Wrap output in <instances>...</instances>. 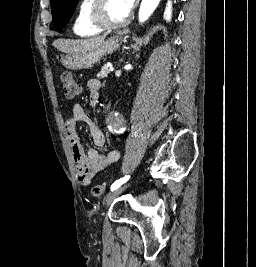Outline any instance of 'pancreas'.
Returning <instances> with one entry per match:
<instances>
[{"mask_svg": "<svg viewBox=\"0 0 256 267\" xmlns=\"http://www.w3.org/2000/svg\"><path fill=\"white\" fill-rule=\"evenodd\" d=\"M108 74H110L107 66H103L100 74H98V76H100V78H107Z\"/></svg>", "mask_w": 256, "mask_h": 267, "instance_id": "pancreas-1", "label": "pancreas"}]
</instances>
